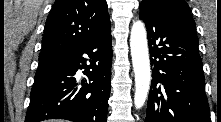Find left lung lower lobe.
I'll return each mask as SVG.
<instances>
[{
  "mask_svg": "<svg viewBox=\"0 0 221 122\" xmlns=\"http://www.w3.org/2000/svg\"><path fill=\"white\" fill-rule=\"evenodd\" d=\"M139 7L153 67L145 122H211L192 16L154 0Z\"/></svg>",
  "mask_w": 221,
  "mask_h": 122,
  "instance_id": "1",
  "label": "left lung lower lobe"
}]
</instances>
